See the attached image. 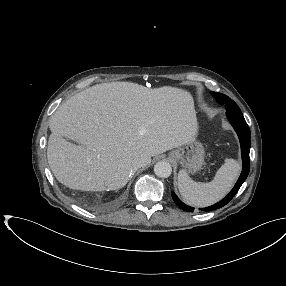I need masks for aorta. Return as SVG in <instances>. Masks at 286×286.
<instances>
[{
    "label": "aorta",
    "mask_w": 286,
    "mask_h": 286,
    "mask_svg": "<svg viewBox=\"0 0 286 286\" xmlns=\"http://www.w3.org/2000/svg\"><path fill=\"white\" fill-rule=\"evenodd\" d=\"M154 173L160 178H167L172 173V167L167 161H159L154 165Z\"/></svg>",
    "instance_id": "1"
}]
</instances>
